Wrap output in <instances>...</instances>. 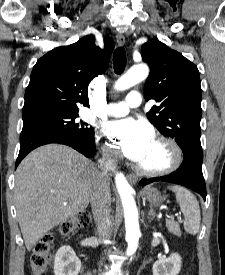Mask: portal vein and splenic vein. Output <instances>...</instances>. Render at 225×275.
<instances>
[{"label": "portal vein and splenic vein", "mask_w": 225, "mask_h": 275, "mask_svg": "<svg viewBox=\"0 0 225 275\" xmlns=\"http://www.w3.org/2000/svg\"><path fill=\"white\" fill-rule=\"evenodd\" d=\"M179 220H181V218L180 217H177Z\"/></svg>", "instance_id": "obj_1"}]
</instances>
